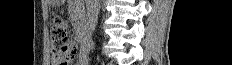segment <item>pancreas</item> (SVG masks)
<instances>
[{"label":"pancreas","mask_w":232,"mask_h":65,"mask_svg":"<svg viewBox=\"0 0 232 65\" xmlns=\"http://www.w3.org/2000/svg\"><path fill=\"white\" fill-rule=\"evenodd\" d=\"M82 26V23H76L75 24V27L78 29V28H80Z\"/></svg>","instance_id":"cf45deb5"}]
</instances>
